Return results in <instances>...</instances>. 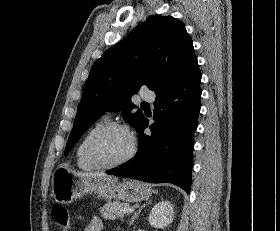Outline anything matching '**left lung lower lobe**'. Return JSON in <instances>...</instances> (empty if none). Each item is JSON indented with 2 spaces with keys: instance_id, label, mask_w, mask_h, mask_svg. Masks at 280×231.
I'll list each match as a JSON object with an SVG mask.
<instances>
[{
  "instance_id": "obj_1",
  "label": "left lung lower lobe",
  "mask_w": 280,
  "mask_h": 231,
  "mask_svg": "<svg viewBox=\"0 0 280 231\" xmlns=\"http://www.w3.org/2000/svg\"><path fill=\"white\" fill-rule=\"evenodd\" d=\"M201 72L191 74L156 93L151 135L144 134L148 119H139L137 154L107 174L149 183H173L188 194L192 181L193 135L198 124Z\"/></svg>"
}]
</instances>
